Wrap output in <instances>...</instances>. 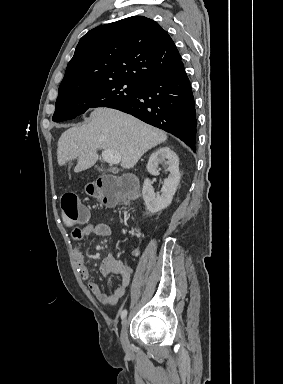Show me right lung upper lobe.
Here are the masks:
<instances>
[{
    "mask_svg": "<svg viewBox=\"0 0 283 384\" xmlns=\"http://www.w3.org/2000/svg\"><path fill=\"white\" fill-rule=\"evenodd\" d=\"M183 67L168 33L149 18L133 16L86 33L59 88L119 79L142 84Z\"/></svg>",
    "mask_w": 283,
    "mask_h": 384,
    "instance_id": "cb5924a9",
    "label": "right lung upper lobe"
}]
</instances>
